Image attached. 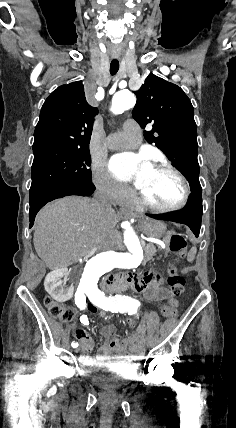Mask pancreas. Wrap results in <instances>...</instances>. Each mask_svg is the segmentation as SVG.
Masks as SVG:
<instances>
[{
  "label": "pancreas",
  "instance_id": "cf45deb5",
  "mask_svg": "<svg viewBox=\"0 0 236 428\" xmlns=\"http://www.w3.org/2000/svg\"><path fill=\"white\" fill-rule=\"evenodd\" d=\"M158 250H162L160 246H154V244H147L144 248L145 256L143 260V264H146V262H149V260H152L153 256H156ZM165 258L167 256V252H164Z\"/></svg>",
  "mask_w": 236,
  "mask_h": 428
}]
</instances>
